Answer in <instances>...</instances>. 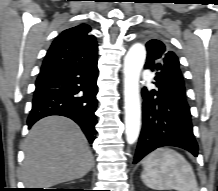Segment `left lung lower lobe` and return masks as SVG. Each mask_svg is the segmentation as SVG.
I'll list each match as a JSON object with an SVG mask.
<instances>
[{
  "instance_id": "obj_1",
  "label": "left lung lower lobe",
  "mask_w": 218,
  "mask_h": 191,
  "mask_svg": "<svg viewBox=\"0 0 218 191\" xmlns=\"http://www.w3.org/2000/svg\"><path fill=\"white\" fill-rule=\"evenodd\" d=\"M145 69L151 68L145 65ZM154 79L155 89L142 90L143 127L134 163L162 146L181 147L198 156V145L192 132L190 108L185 92L181 89L163 88V79L159 74Z\"/></svg>"
}]
</instances>
